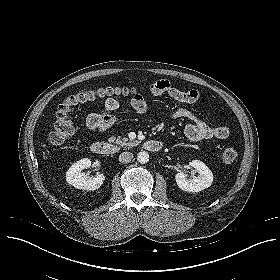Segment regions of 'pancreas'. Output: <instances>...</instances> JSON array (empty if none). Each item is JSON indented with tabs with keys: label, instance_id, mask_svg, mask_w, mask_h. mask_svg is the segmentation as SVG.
Instances as JSON below:
<instances>
[{
	"label": "pancreas",
	"instance_id": "1",
	"mask_svg": "<svg viewBox=\"0 0 280 280\" xmlns=\"http://www.w3.org/2000/svg\"><path fill=\"white\" fill-rule=\"evenodd\" d=\"M109 142L115 143L118 146H125V147H131L138 143L137 140H128V138H121V137H110Z\"/></svg>",
	"mask_w": 280,
	"mask_h": 280
}]
</instances>
